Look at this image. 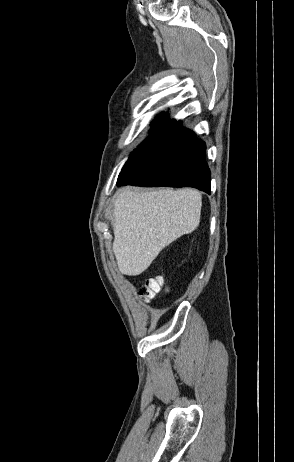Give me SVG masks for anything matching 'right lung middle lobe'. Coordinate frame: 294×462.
Returning <instances> with one entry per match:
<instances>
[{
	"label": "right lung middle lobe",
	"mask_w": 294,
	"mask_h": 462,
	"mask_svg": "<svg viewBox=\"0 0 294 462\" xmlns=\"http://www.w3.org/2000/svg\"><path fill=\"white\" fill-rule=\"evenodd\" d=\"M166 117L164 114L163 115H160L158 116L157 118H155V120L153 121V131L152 133L148 136V138L138 146L137 149H135L129 159L127 160V162L125 163L123 169L129 165L132 160L141 152L143 151L144 149H146L148 146H150L151 144H153L154 142H156L159 138H161L169 129L170 127L174 124V120H170V121H166Z\"/></svg>",
	"instance_id": "obj_1"
}]
</instances>
